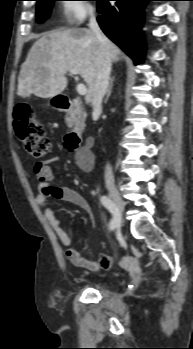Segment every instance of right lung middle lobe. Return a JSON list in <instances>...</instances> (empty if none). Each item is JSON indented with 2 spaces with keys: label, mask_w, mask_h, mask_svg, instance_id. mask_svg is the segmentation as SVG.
<instances>
[{
  "label": "right lung middle lobe",
  "mask_w": 193,
  "mask_h": 349,
  "mask_svg": "<svg viewBox=\"0 0 193 349\" xmlns=\"http://www.w3.org/2000/svg\"><path fill=\"white\" fill-rule=\"evenodd\" d=\"M36 1H37V22L42 23L49 17L53 4L57 0H36Z\"/></svg>",
  "instance_id": "right-lung-middle-lobe-1"
}]
</instances>
